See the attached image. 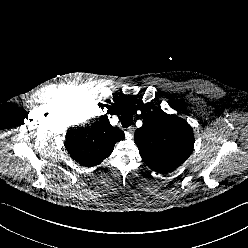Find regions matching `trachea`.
I'll use <instances>...</instances> for the list:
<instances>
[{
    "mask_svg": "<svg viewBox=\"0 0 248 248\" xmlns=\"http://www.w3.org/2000/svg\"><path fill=\"white\" fill-rule=\"evenodd\" d=\"M133 122V116L131 112L124 111L121 115V124L124 128L129 127Z\"/></svg>",
    "mask_w": 248,
    "mask_h": 248,
    "instance_id": "3493384b",
    "label": "trachea"
}]
</instances>
